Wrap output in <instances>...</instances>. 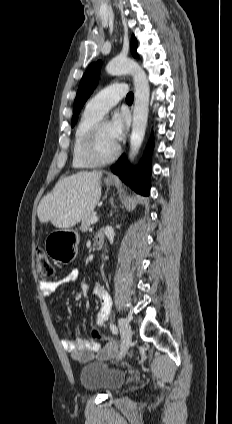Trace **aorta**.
Returning a JSON list of instances; mask_svg holds the SVG:
<instances>
[{"label": "aorta", "mask_w": 232, "mask_h": 424, "mask_svg": "<svg viewBox=\"0 0 232 424\" xmlns=\"http://www.w3.org/2000/svg\"><path fill=\"white\" fill-rule=\"evenodd\" d=\"M106 71L110 75L131 74L133 76L135 100L129 150V160L132 162L138 154L145 136L150 95L149 83L146 73L139 64L128 58L112 59L107 64Z\"/></svg>", "instance_id": "1"}]
</instances>
